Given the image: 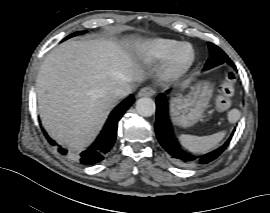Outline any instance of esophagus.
I'll list each match as a JSON object with an SVG mask.
<instances>
[{"instance_id": "1", "label": "esophagus", "mask_w": 270, "mask_h": 213, "mask_svg": "<svg viewBox=\"0 0 270 213\" xmlns=\"http://www.w3.org/2000/svg\"><path fill=\"white\" fill-rule=\"evenodd\" d=\"M155 94V90L152 87H144L139 90L138 97H151Z\"/></svg>"}]
</instances>
